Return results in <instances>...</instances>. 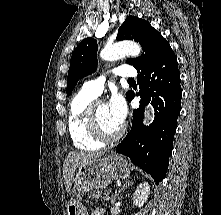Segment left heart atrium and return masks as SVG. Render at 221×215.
I'll return each instance as SVG.
<instances>
[{"label": "left heart atrium", "mask_w": 221, "mask_h": 215, "mask_svg": "<svg viewBox=\"0 0 221 215\" xmlns=\"http://www.w3.org/2000/svg\"><path fill=\"white\" fill-rule=\"evenodd\" d=\"M108 108L113 120L122 126L127 116V106L124 98L120 94H114L108 103Z\"/></svg>", "instance_id": "left-heart-atrium-1"}]
</instances>
